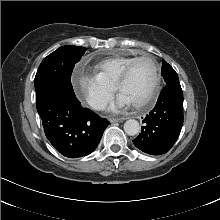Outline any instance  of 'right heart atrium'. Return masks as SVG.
<instances>
[{"mask_svg":"<svg viewBox=\"0 0 220 220\" xmlns=\"http://www.w3.org/2000/svg\"><path fill=\"white\" fill-rule=\"evenodd\" d=\"M72 84L76 95L95 110L102 109L115 92V86L91 74L75 73Z\"/></svg>","mask_w":220,"mask_h":220,"instance_id":"1","label":"right heart atrium"}]
</instances>
